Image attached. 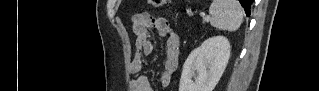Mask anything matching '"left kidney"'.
Instances as JSON below:
<instances>
[{
	"label": "left kidney",
	"instance_id": "5707ae66",
	"mask_svg": "<svg viewBox=\"0 0 319 91\" xmlns=\"http://www.w3.org/2000/svg\"><path fill=\"white\" fill-rule=\"evenodd\" d=\"M230 52L231 46L226 37L206 39L186 59L179 91H213L227 66Z\"/></svg>",
	"mask_w": 319,
	"mask_h": 91
}]
</instances>
